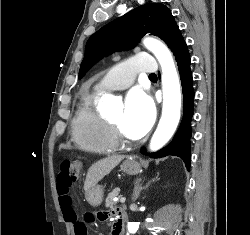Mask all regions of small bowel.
I'll list each match as a JSON object with an SVG mask.
<instances>
[{
  "mask_svg": "<svg viewBox=\"0 0 250 235\" xmlns=\"http://www.w3.org/2000/svg\"><path fill=\"white\" fill-rule=\"evenodd\" d=\"M57 192L59 196V204L61 207V213L66 222H70L74 224L76 222V217L74 213V209L72 206V199L70 196V191H65L57 187ZM119 210H111L108 212H103L101 214H98V220H108V219H114L116 220L117 214Z\"/></svg>",
  "mask_w": 250,
  "mask_h": 235,
  "instance_id": "1",
  "label": "small bowel"
}]
</instances>
